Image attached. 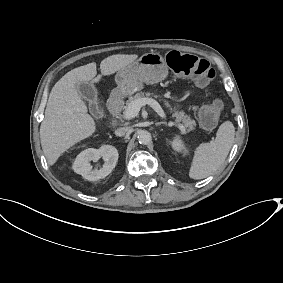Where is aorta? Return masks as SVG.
Listing matches in <instances>:
<instances>
[{
	"mask_svg": "<svg viewBox=\"0 0 283 283\" xmlns=\"http://www.w3.org/2000/svg\"><path fill=\"white\" fill-rule=\"evenodd\" d=\"M152 140V137H151V134L148 132V131H141L139 132L138 134V141L140 144H144V145H147L151 142Z\"/></svg>",
	"mask_w": 283,
	"mask_h": 283,
	"instance_id": "762f6f07",
	"label": "aorta"
}]
</instances>
